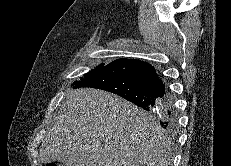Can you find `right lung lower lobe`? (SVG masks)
I'll return each mask as SVG.
<instances>
[{"instance_id": "right-lung-lower-lobe-1", "label": "right lung lower lobe", "mask_w": 231, "mask_h": 166, "mask_svg": "<svg viewBox=\"0 0 231 166\" xmlns=\"http://www.w3.org/2000/svg\"><path fill=\"white\" fill-rule=\"evenodd\" d=\"M92 87L117 94L147 111L159 115L170 133L177 129V113L171 94L153 66L136 59H118L86 77L74 88Z\"/></svg>"}]
</instances>
